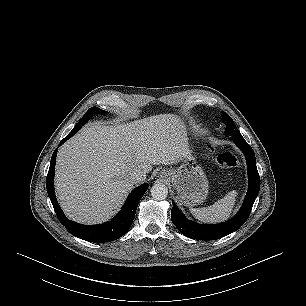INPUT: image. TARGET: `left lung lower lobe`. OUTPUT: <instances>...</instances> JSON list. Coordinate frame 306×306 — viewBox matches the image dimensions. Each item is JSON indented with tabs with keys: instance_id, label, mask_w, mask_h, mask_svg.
<instances>
[{
	"instance_id": "1",
	"label": "left lung lower lobe",
	"mask_w": 306,
	"mask_h": 306,
	"mask_svg": "<svg viewBox=\"0 0 306 306\" xmlns=\"http://www.w3.org/2000/svg\"><path fill=\"white\" fill-rule=\"evenodd\" d=\"M235 144L242 150L247 161L249 188L239 212L229 221L220 224H198L188 220L178 209L173 207L171 219L177 229L185 236L197 240H215L240 228L248 219L254 201L260 189V177L256 167L253 149L243 137H233Z\"/></svg>"
}]
</instances>
